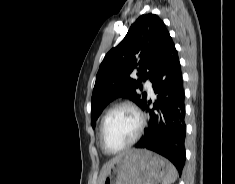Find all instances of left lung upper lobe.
Listing matches in <instances>:
<instances>
[{
    "instance_id": "left-lung-upper-lobe-1",
    "label": "left lung upper lobe",
    "mask_w": 235,
    "mask_h": 184,
    "mask_svg": "<svg viewBox=\"0 0 235 184\" xmlns=\"http://www.w3.org/2000/svg\"><path fill=\"white\" fill-rule=\"evenodd\" d=\"M170 36L164 22L155 14L141 15L130 27L125 38L104 57L91 98V124L112 100L118 97L131 99L142 108L147 99L142 81L150 79L159 50ZM137 74L138 80L131 75Z\"/></svg>"
}]
</instances>
